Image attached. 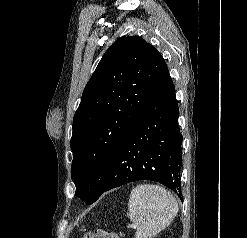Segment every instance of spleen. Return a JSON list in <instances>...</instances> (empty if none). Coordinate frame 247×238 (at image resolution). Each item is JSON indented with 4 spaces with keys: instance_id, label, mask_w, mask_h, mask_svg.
Masks as SVG:
<instances>
[{
    "instance_id": "1",
    "label": "spleen",
    "mask_w": 247,
    "mask_h": 238,
    "mask_svg": "<svg viewBox=\"0 0 247 238\" xmlns=\"http://www.w3.org/2000/svg\"><path fill=\"white\" fill-rule=\"evenodd\" d=\"M175 197L162 186L137 185L130 194L127 216L136 226V238H152L178 213Z\"/></svg>"
}]
</instances>
